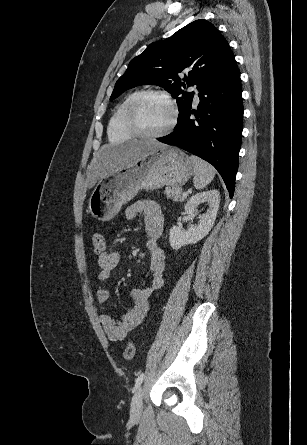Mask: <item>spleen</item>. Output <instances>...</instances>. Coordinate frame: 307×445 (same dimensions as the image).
Returning <instances> with one entry per match:
<instances>
[{"label":"spleen","mask_w":307,"mask_h":445,"mask_svg":"<svg viewBox=\"0 0 307 445\" xmlns=\"http://www.w3.org/2000/svg\"><path fill=\"white\" fill-rule=\"evenodd\" d=\"M193 162L194 186L195 188H204L211 180H213L216 170L212 164L198 158V156H190Z\"/></svg>","instance_id":"obj_1"}]
</instances>
